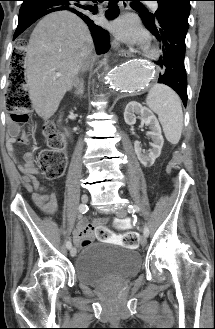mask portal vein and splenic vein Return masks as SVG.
<instances>
[{
  "label": "portal vein and splenic vein",
  "instance_id": "1",
  "mask_svg": "<svg viewBox=\"0 0 215 329\" xmlns=\"http://www.w3.org/2000/svg\"><path fill=\"white\" fill-rule=\"evenodd\" d=\"M61 74L60 73H57V76H60Z\"/></svg>",
  "mask_w": 215,
  "mask_h": 329
}]
</instances>
